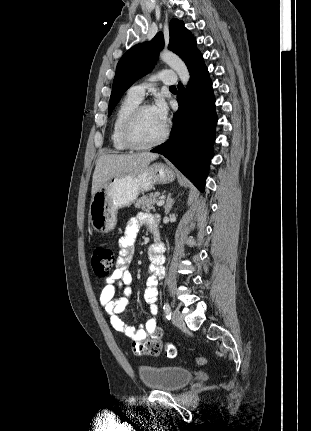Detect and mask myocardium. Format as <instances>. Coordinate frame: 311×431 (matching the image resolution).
Segmentation results:
<instances>
[{
  "instance_id": "myocardium-1",
  "label": "myocardium",
  "mask_w": 311,
  "mask_h": 431,
  "mask_svg": "<svg viewBox=\"0 0 311 431\" xmlns=\"http://www.w3.org/2000/svg\"><path fill=\"white\" fill-rule=\"evenodd\" d=\"M149 107L150 106L146 103H140L128 114V116L124 121L123 136L127 144L132 148L148 149V148L158 146L159 144L163 143L166 140L169 134V129L165 125L164 132L157 139L148 141V142H145L139 139V137L137 136V126L144 111Z\"/></svg>"
}]
</instances>
